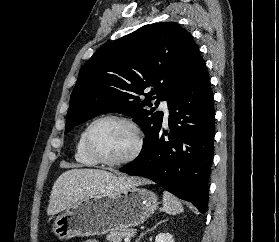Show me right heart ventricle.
<instances>
[{
	"label": "right heart ventricle",
	"instance_id": "1",
	"mask_svg": "<svg viewBox=\"0 0 279 242\" xmlns=\"http://www.w3.org/2000/svg\"><path fill=\"white\" fill-rule=\"evenodd\" d=\"M85 133L86 129H84L76 143L74 157L75 160L85 166V167H93L96 166L98 163L88 154L86 147H85Z\"/></svg>",
	"mask_w": 279,
	"mask_h": 242
}]
</instances>
